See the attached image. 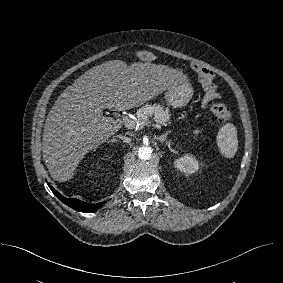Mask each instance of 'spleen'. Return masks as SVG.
I'll use <instances>...</instances> for the list:
<instances>
[{
    "mask_svg": "<svg viewBox=\"0 0 283 283\" xmlns=\"http://www.w3.org/2000/svg\"><path fill=\"white\" fill-rule=\"evenodd\" d=\"M217 146L226 158H232L238 149L237 129L233 123L224 124L217 135Z\"/></svg>",
    "mask_w": 283,
    "mask_h": 283,
    "instance_id": "3e777b00",
    "label": "spleen"
}]
</instances>
